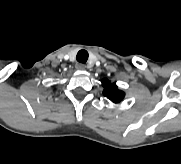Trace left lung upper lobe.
Segmentation results:
<instances>
[{"mask_svg":"<svg viewBox=\"0 0 181 164\" xmlns=\"http://www.w3.org/2000/svg\"><path fill=\"white\" fill-rule=\"evenodd\" d=\"M102 84L104 87L103 94L112 102L119 103L124 97L125 93L119 90L115 83H111L107 78L102 79Z\"/></svg>","mask_w":181,"mask_h":164,"instance_id":"obj_1","label":"left lung upper lobe"}]
</instances>
